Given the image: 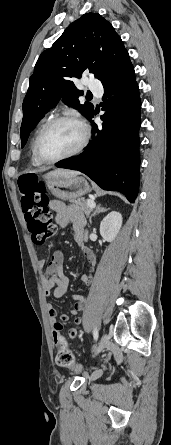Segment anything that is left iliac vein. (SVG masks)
Instances as JSON below:
<instances>
[{
    "label": "left iliac vein",
    "instance_id": "obj_1",
    "mask_svg": "<svg viewBox=\"0 0 171 445\" xmlns=\"http://www.w3.org/2000/svg\"><path fill=\"white\" fill-rule=\"evenodd\" d=\"M108 344H109V337L107 335H103L100 339L98 346L95 349V354L100 353Z\"/></svg>",
    "mask_w": 171,
    "mask_h": 445
}]
</instances>
